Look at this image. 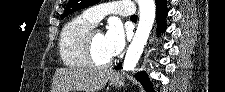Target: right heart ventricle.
Listing matches in <instances>:
<instances>
[{
	"mask_svg": "<svg viewBox=\"0 0 225 92\" xmlns=\"http://www.w3.org/2000/svg\"><path fill=\"white\" fill-rule=\"evenodd\" d=\"M93 27L94 25L82 16H77L65 24L59 38V55L65 65L80 69L90 66L84 53V39Z\"/></svg>",
	"mask_w": 225,
	"mask_h": 92,
	"instance_id": "right-heart-ventricle-1",
	"label": "right heart ventricle"
}]
</instances>
